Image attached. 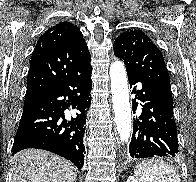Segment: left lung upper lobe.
<instances>
[{
  "mask_svg": "<svg viewBox=\"0 0 196 182\" xmlns=\"http://www.w3.org/2000/svg\"><path fill=\"white\" fill-rule=\"evenodd\" d=\"M114 54L124 61L127 70L140 75L173 101L164 57L144 32L127 30L121 33L114 42Z\"/></svg>",
  "mask_w": 196,
  "mask_h": 182,
  "instance_id": "1",
  "label": "left lung upper lobe"
}]
</instances>
